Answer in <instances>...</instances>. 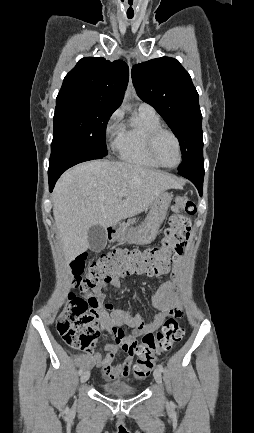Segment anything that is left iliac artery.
<instances>
[{"label":"left iliac artery","mask_w":254,"mask_h":433,"mask_svg":"<svg viewBox=\"0 0 254 433\" xmlns=\"http://www.w3.org/2000/svg\"><path fill=\"white\" fill-rule=\"evenodd\" d=\"M158 369H159L161 372H163V371H164L163 365H162V364H159V365H158Z\"/></svg>","instance_id":"1"}]
</instances>
